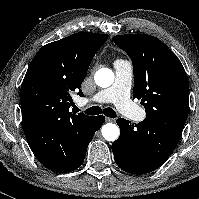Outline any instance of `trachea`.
I'll return each instance as SVG.
<instances>
[{"instance_id":"3493384b","label":"trachea","mask_w":199,"mask_h":199,"mask_svg":"<svg viewBox=\"0 0 199 199\" xmlns=\"http://www.w3.org/2000/svg\"><path fill=\"white\" fill-rule=\"evenodd\" d=\"M76 110L79 111V109L77 107H76ZM85 113L88 115H99V114L103 113L105 116H107L109 118H115L117 116L116 112L110 107L102 110L101 107H99V106H92V107L88 108L85 111Z\"/></svg>"}]
</instances>
